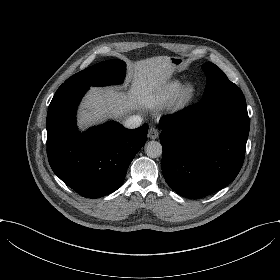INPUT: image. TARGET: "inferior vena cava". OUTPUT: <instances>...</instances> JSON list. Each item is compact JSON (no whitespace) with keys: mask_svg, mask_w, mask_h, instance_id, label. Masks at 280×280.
Returning a JSON list of instances; mask_svg holds the SVG:
<instances>
[{"mask_svg":"<svg viewBox=\"0 0 280 280\" xmlns=\"http://www.w3.org/2000/svg\"><path fill=\"white\" fill-rule=\"evenodd\" d=\"M142 123V117L139 115H132L124 122V126L129 129L137 128Z\"/></svg>","mask_w":280,"mask_h":280,"instance_id":"obj_1","label":"inferior vena cava"}]
</instances>
